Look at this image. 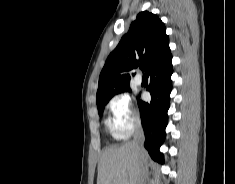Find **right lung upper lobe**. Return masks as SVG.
<instances>
[{"label": "right lung upper lobe", "mask_w": 235, "mask_h": 184, "mask_svg": "<svg viewBox=\"0 0 235 184\" xmlns=\"http://www.w3.org/2000/svg\"><path fill=\"white\" fill-rule=\"evenodd\" d=\"M170 54L164 23L148 11L140 12L105 62L99 76L97 106L106 105L115 89L129 86L128 71L144 64L147 72Z\"/></svg>", "instance_id": "right-lung-upper-lobe-1"}]
</instances>
